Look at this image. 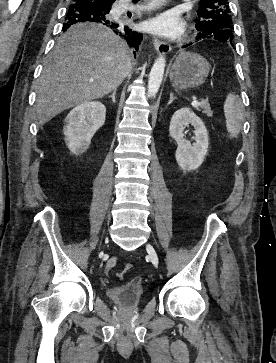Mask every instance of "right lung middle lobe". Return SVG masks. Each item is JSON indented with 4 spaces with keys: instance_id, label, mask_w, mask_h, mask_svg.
<instances>
[{
    "instance_id": "right-lung-middle-lobe-1",
    "label": "right lung middle lobe",
    "mask_w": 276,
    "mask_h": 363,
    "mask_svg": "<svg viewBox=\"0 0 276 363\" xmlns=\"http://www.w3.org/2000/svg\"><path fill=\"white\" fill-rule=\"evenodd\" d=\"M78 3L84 4V3H89V2L88 1H82V0H73L70 6L77 5ZM95 6L98 7L99 9L103 10L105 14H108L110 9H111L110 7H105V6H102V5H99V4H95Z\"/></svg>"
}]
</instances>
